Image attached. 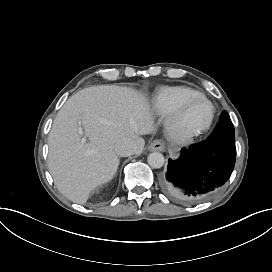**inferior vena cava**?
<instances>
[{"mask_svg": "<svg viewBox=\"0 0 272 272\" xmlns=\"http://www.w3.org/2000/svg\"><path fill=\"white\" fill-rule=\"evenodd\" d=\"M114 151L122 157L131 156L138 151V144L130 137H123L114 145Z\"/></svg>", "mask_w": 272, "mask_h": 272, "instance_id": "obj_1", "label": "inferior vena cava"}]
</instances>
